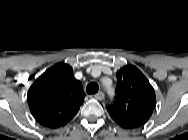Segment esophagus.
<instances>
[{"mask_svg": "<svg viewBox=\"0 0 188 140\" xmlns=\"http://www.w3.org/2000/svg\"><path fill=\"white\" fill-rule=\"evenodd\" d=\"M94 97L97 99V100H103L105 95L103 92H98L94 95Z\"/></svg>", "mask_w": 188, "mask_h": 140, "instance_id": "obj_1", "label": "esophagus"}]
</instances>
